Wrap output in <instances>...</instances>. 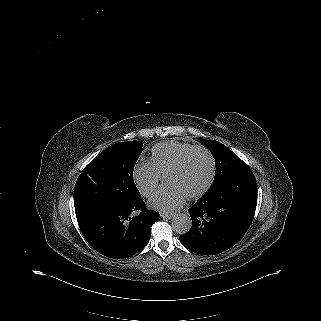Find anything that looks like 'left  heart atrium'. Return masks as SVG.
<instances>
[{"label": "left heart atrium", "mask_w": 321, "mask_h": 321, "mask_svg": "<svg viewBox=\"0 0 321 321\" xmlns=\"http://www.w3.org/2000/svg\"><path fill=\"white\" fill-rule=\"evenodd\" d=\"M184 195L183 192L162 190L152 197L151 205L161 211L173 212L183 205L185 200Z\"/></svg>", "instance_id": "1"}]
</instances>
